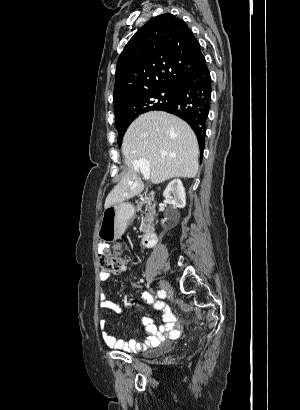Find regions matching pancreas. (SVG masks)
<instances>
[{"mask_svg": "<svg viewBox=\"0 0 300 410\" xmlns=\"http://www.w3.org/2000/svg\"><path fill=\"white\" fill-rule=\"evenodd\" d=\"M143 205H145V209L149 213L146 215V217L142 219L140 231L146 233L153 229V226L151 225V221L153 219V212L152 207L148 204V201L146 200L138 203L137 211H141Z\"/></svg>", "mask_w": 300, "mask_h": 410, "instance_id": "1", "label": "pancreas"}]
</instances>
